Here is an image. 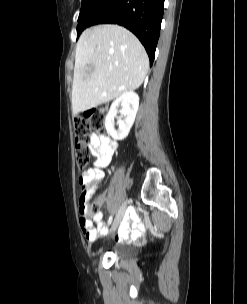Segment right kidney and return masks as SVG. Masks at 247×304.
<instances>
[{
    "label": "right kidney",
    "mask_w": 247,
    "mask_h": 304,
    "mask_svg": "<svg viewBox=\"0 0 247 304\" xmlns=\"http://www.w3.org/2000/svg\"><path fill=\"white\" fill-rule=\"evenodd\" d=\"M119 106H121L120 113L124 116V119L117 121L118 129L116 130L114 127V118L117 115ZM138 107L139 97L133 91H126L113 101L105 119L106 131L112 138L115 140H123L128 136L134 123Z\"/></svg>",
    "instance_id": "ca27d5eb"
}]
</instances>
